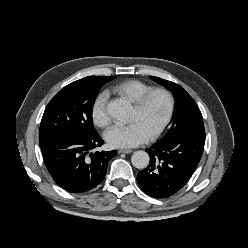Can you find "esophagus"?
Returning a JSON list of instances; mask_svg holds the SVG:
<instances>
[{
	"mask_svg": "<svg viewBox=\"0 0 248 248\" xmlns=\"http://www.w3.org/2000/svg\"><path fill=\"white\" fill-rule=\"evenodd\" d=\"M132 152H133V150H131V149H120L118 151V153H123V154H130Z\"/></svg>",
	"mask_w": 248,
	"mask_h": 248,
	"instance_id": "esophagus-1",
	"label": "esophagus"
}]
</instances>
